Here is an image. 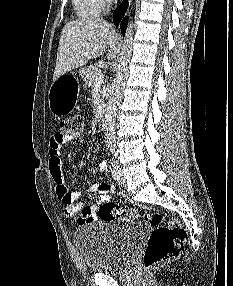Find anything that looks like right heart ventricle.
<instances>
[{
  "label": "right heart ventricle",
  "instance_id": "right-heart-ventricle-1",
  "mask_svg": "<svg viewBox=\"0 0 233 286\" xmlns=\"http://www.w3.org/2000/svg\"><path fill=\"white\" fill-rule=\"evenodd\" d=\"M76 15L81 19H93L102 13L104 0H72Z\"/></svg>",
  "mask_w": 233,
  "mask_h": 286
}]
</instances>
